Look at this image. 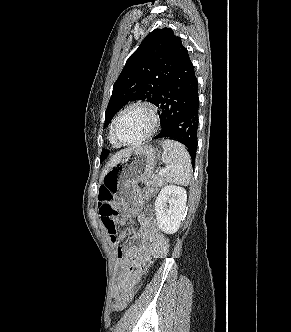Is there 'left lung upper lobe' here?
<instances>
[{
  "label": "left lung upper lobe",
  "mask_w": 291,
  "mask_h": 332,
  "mask_svg": "<svg viewBox=\"0 0 291 332\" xmlns=\"http://www.w3.org/2000/svg\"><path fill=\"white\" fill-rule=\"evenodd\" d=\"M186 48L170 28L155 29L128 58L113 85L105 113L104 128L128 102L146 100L156 104L162 90L174 74ZM109 154L102 150L100 161Z\"/></svg>",
  "instance_id": "obj_1"
}]
</instances>
